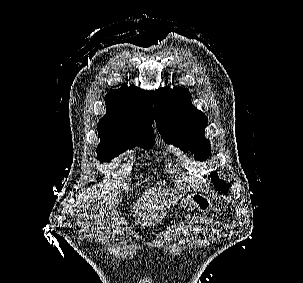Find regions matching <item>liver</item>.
I'll return each mask as SVG.
<instances>
[{
  "instance_id": "obj_1",
  "label": "liver",
  "mask_w": 303,
  "mask_h": 283,
  "mask_svg": "<svg viewBox=\"0 0 303 283\" xmlns=\"http://www.w3.org/2000/svg\"><path fill=\"white\" fill-rule=\"evenodd\" d=\"M94 196H97L99 200L103 198L104 192L100 193V191H96ZM176 199L177 197L174 196L173 193H170V190H166L161 186L158 188L153 187L148 189L144 196L138 200L137 204L134 206V210L140 218L142 217V226H147L161 220L165 215V211L174 204ZM86 216L89 217L87 214ZM105 217H107V219H105ZM90 218L94 220V222L92 221V224L97 226L99 229H104L105 223L110 224L106 207H104V203L102 202L96 205ZM105 229L109 231L108 227H105Z\"/></svg>"
}]
</instances>
